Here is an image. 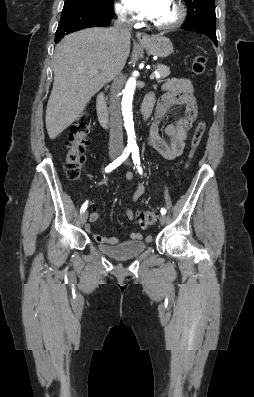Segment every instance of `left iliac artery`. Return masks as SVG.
I'll use <instances>...</instances> for the list:
<instances>
[{
    "mask_svg": "<svg viewBox=\"0 0 254 397\" xmlns=\"http://www.w3.org/2000/svg\"><path fill=\"white\" fill-rule=\"evenodd\" d=\"M132 159H133V162H134L138 172L140 174H142L143 170H142V167L140 166V157H139V149H138V147H135V148L132 149ZM161 214L162 215L166 214V209L165 208H161Z\"/></svg>",
    "mask_w": 254,
    "mask_h": 397,
    "instance_id": "left-iliac-artery-1",
    "label": "left iliac artery"
}]
</instances>
